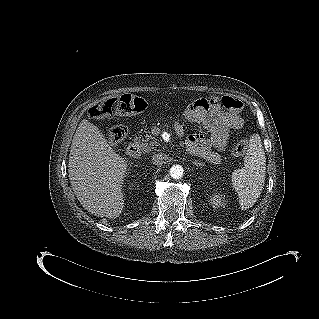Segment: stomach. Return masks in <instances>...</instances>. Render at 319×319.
<instances>
[{
  "mask_svg": "<svg viewBox=\"0 0 319 319\" xmlns=\"http://www.w3.org/2000/svg\"><path fill=\"white\" fill-rule=\"evenodd\" d=\"M204 108L199 104V102H192L184 111L185 118L190 122L200 121Z\"/></svg>",
  "mask_w": 319,
  "mask_h": 319,
  "instance_id": "obj_1",
  "label": "stomach"
}]
</instances>
